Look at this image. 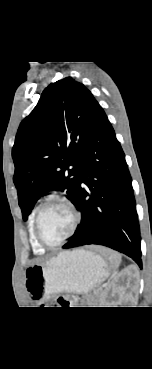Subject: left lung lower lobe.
Returning <instances> with one entry per match:
<instances>
[{"label": "left lung lower lobe", "instance_id": "obj_1", "mask_svg": "<svg viewBox=\"0 0 152 369\" xmlns=\"http://www.w3.org/2000/svg\"><path fill=\"white\" fill-rule=\"evenodd\" d=\"M73 204L81 212V223L63 248L107 246L128 255L142 268L132 179L101 106L81 155V176Z\"/></svg>", "mask_w": 152, "mask_h": 369}]
</instances>
